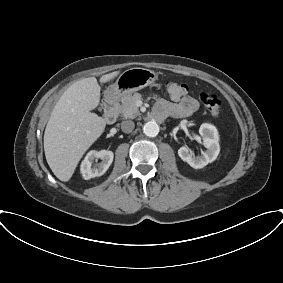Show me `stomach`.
Masks as SVG:
<instances>
[{"mask_svg": "<svg viewBox=\"0 0 283 283\" xmlns=\"http://www.w3.org/2000/svg\"><path fill=\"white\" fill-rule=\"evenodd\" d=\"M157 75L145 68H131L124 71L110 86L108 94L114 98H123L127 94L139 91L155 82Z\"/></svg>", "mask_w": 283, "mask_h": 283, "instance_id": "stomach-1", "label": "stomach"}]
</instances>
